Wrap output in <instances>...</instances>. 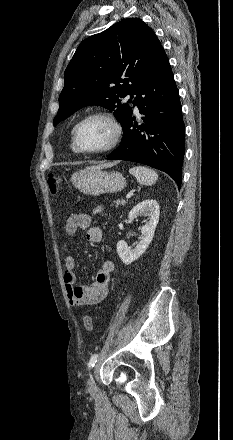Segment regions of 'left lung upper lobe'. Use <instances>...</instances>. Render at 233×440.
Here are the masks:
<instances>
[{
    "mask_svg": "<svg viewBox=\"0 0 233 440\" xmlns=\"http://www.w3.org/2000/svg\"><path fill=\"white\" fill-rule=\"evenodd\" d=\"M162 51L153 30L139 18L124 19L86 38L65 70L54 126L88 105L114 110L124 126L131 106L119 98L135 94Z\"/></svg>",
    "mask_w": 233,
    "mask_h": 440,
    "instance_id": "obj_1",
    "label": "left lung upper lobe"
}]
</instances>
